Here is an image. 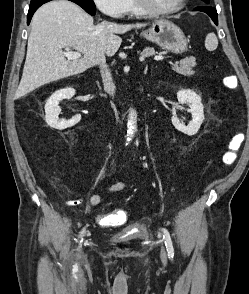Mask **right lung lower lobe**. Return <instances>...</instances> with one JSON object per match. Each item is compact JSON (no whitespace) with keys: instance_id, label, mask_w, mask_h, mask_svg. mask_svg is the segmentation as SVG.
<instances>
[{"instance_id":"right-lung-lower-lobe-1","label":"right lung lower lobe","mask_w":249,"mask_h":294,"mask_svg":"<svg viewBox=\"0 0 249 294\" xmlns=\"http://www.w3.org/2000/svg\"><path fill=\"white\" fill-rule=\"evenodd\" d=\"M46 2H48V1H46ZM46 2H42V3L36 4V5H31V6H30L29 11H28V15H27V24L30 23L31 18H32L34 12H35V11H36V10L42 5V4H44V3H46Z\"/></svg>"}]
</instances>
